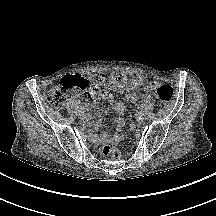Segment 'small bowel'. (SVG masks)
<instances>
[{
    "mask_svg": "<svg viewBox=\"0 0 216 216\" xmlns=\"http://www.w3.org/2000/svg\"><path fill=\"white\" fill-rule=\"evenodd\" d=\"M100 79L99 83H96L89 91L85 92L86 97L91 99L95 104H98L102 100L108 101L115 112L119 115H123L125 112V102L135 103L138 99V90L153 92L156 89L158 83L151 82L146 83V78L143 75H137L132 78L126 77L121 72H112L108 76L97 77ZM96 78V79H97ZM104 83L105 89H101L99 84ZM116 92H126L125 102L116 98ZM118 131L115 134L105 132L100 137H96L95 140L103 142H116L124 135L123 121L118 120ZM100 125V118L95 110L89 111L88 126L97 128Z\"/></svg>",
    "mask_w": 216,
    "mask_h": 216,
    "instance_id": "obj_1",
    "label": "small bowel"
}]
</instances>
